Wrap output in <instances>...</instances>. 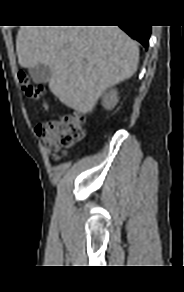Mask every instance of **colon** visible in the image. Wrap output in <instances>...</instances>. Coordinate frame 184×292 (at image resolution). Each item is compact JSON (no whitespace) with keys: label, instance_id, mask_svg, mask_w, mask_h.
<instances>
[{"label":"colon","instance_id":"1","mask_svg":"<svg viewBox=\"0 0 184 292\" xmlns=\"http://www.w3.org/2000/svg\"><path fill=\"white\" fill-rule=\"evenodd\" d=\"M18 79L25 96L37 102L41 101L43 107L46 108L44 88L41 85H33L22 71L19 72ZM35 131L44 147L51 152V157L54 160L61 157L63 149L72 147L85 136L83 119L76 113L49 118L40 122Z\"/></svg>","mask_w":184,"mask_h":292}]
</instances>
